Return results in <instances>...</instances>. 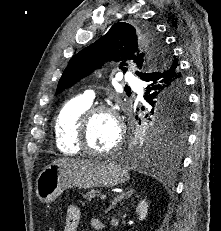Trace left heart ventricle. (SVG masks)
<instances>
[{
  "instance_id": "b2bd125f",
  "label": "left heart ventricle",
  "mask_w": 221,
  "mask_h": 231,
  "mask_svg": "<svg viewBox=\"0 0 221 231\" xmlns=\"http://www.w3.org/2000/svg\"><path fill=\"white\" fill-rule=\"evenodd\" d=\"M117 138L118 128L111 115L99 113L92 119L88 130V142L92 149L106 150Z\"/></svg>"
}]
</instances>
